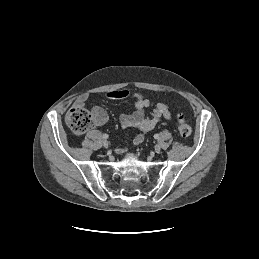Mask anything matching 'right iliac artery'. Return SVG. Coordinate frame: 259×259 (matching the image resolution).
Masks as SVG:
<instances>
[{"label":"right iliac artery","instance_id":"obj_1","mask_svg":"<svg viewBox=\"0 0 259 259\" xmlns=\"http://www.w3.org/2000/svg\"><path fill=\"white\" fill-rule=\"evenodd\" d=\"M109 136L107 134H103V138L107 139Z\"/></svg>","mask_w":259,"mask_h":259}]
</instances>
